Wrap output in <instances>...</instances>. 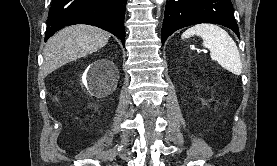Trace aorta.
I'll return each mask as SVG.
<instances>
[{"mask_svg": "<svg viewBox=\"0 0 277 166\" xmlns=\"http://www.w3.org/2000/svg\"><path fill=\"white\" fill-rule=\"evenodd\" d=\"M164 0H156L157 4H162Z\"/></svg>", "mask_w": 277, "mask_h": 166, "instance_id": "1", "label": "aorta"}]
</instances>
